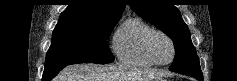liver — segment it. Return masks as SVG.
Returning <instances> with one entry per match:
<instances>
[{
  "label": "liver",
  "mask_w": 237,
  "mask_h": 81,
  "mask_svg": "<svg viewBox=\"0 0 237 81\" xmlns=\"http://www.w3.org/2000/svg\"><path fill=\"white\" fill-rule=\"evenodd\" d=\"M165 75L158 70H123L115 66L74 64L64 68L56 81H152Z\"/></svg>",
  "instance_id": "6515ba94"
}]
</instances>
